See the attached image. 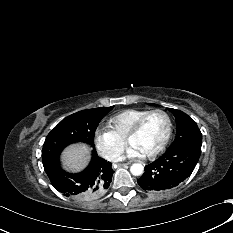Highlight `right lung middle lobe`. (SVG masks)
Segmentation results:
<instances>
[{
  "mask_svg": "<svg viewBox=\"0 0 233 233\" xmlns=\"http://www.w3.org/2000/svg\"><path fill=\"white\" fill-rule=\"evenodd\" d=\"M112 108L113 106L82 110L63 119L46 137L42 150L43 165L58 159L61 151L72 143L84 142L95 149L96 128Z\"/></svg>",
  "mask_w": 233,
  "mask_h": 233,
  "instance_id": "right-lung-middle-lobe-1",
  "label": "right lung middle lobe"
}]
</instances>
